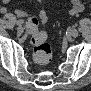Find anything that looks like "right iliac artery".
I'll list each match as a JSON object with an SVG mask.
<instances>
[{
  "label": "right iliac artery",
  "mask_w": 91,
  "mask_h": 91,
  "mask_svg": "<svg viewBox=\"0 0 91 91\" xmlns=\"http://www.w3.org/2000/svg\"><path fill=\"white\" fill-rule=\"evenodd\" d=\"M16 24L19 25V26L22 25V24H23V20H22V19L18 20V21L16 22Z\"/></svg>",
  "instance_id": "82829eb1"
}]
</instances>
